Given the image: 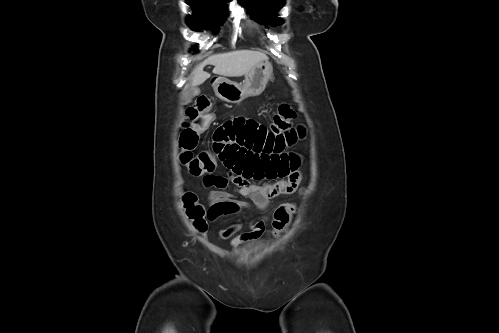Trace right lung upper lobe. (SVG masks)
Listing matches in <instances>:
<instances>
[{
  "mask_svg": "<svg viewBox=\"0 0 499 333\" xmlns=\"http://www.w3.org/2000/svg\"><path fill=\"white\" fill-rule=\"evenodd\" d=\"M206 1H231V0H206Z\"/></svg>",
  "mask_w": 499,
  "mask_h": 333,
  "instance_id": "1",
  "label": "right lung upper lobe"
}]
</instances>
